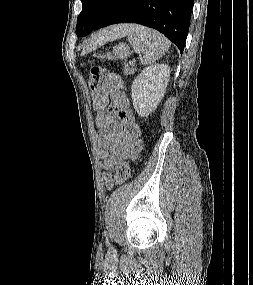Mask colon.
<instances>
[{
    "label": "colon",
    "instance_id": "1",
    "mask_svg": "<svg viewBox=\"0 0 253 285\" xmlns=\"http://www.w3.org/2000/svg\"><path fill=\"white\" fill-rule=\"evenodd\" d=\"M105 72L106 70L100 66H93L91 68L88 87L92 94H97L99 92L101 81L105 75ZM132 172L133 169L128 162H121L115 175V183L117 185H122L131 177Z\"/></svg>",
    "mask_w": 253,
    "mask_h": 285
}]
</instances>
